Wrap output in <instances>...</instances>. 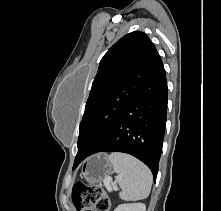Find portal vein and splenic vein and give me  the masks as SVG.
<instances>
[{
	"label": "portal vein and splenic vein",
	"instance_id": "obj_1",
	"mask_svg": "<svg viewBox=\"0 0 221 211\" xmlns=\"http://www.w3.org/2000/svg\"><path fill=\"white\" fill-rule=\"evenodd\" d=\"M119 179V176L118 177H116V180H118ZM105 185L108 187V190L109 191H111V186H110V182L109 181H105Z\"/></svg>",
	"mask_w": 221,
	"mask_h": 211
}]
</instances>
